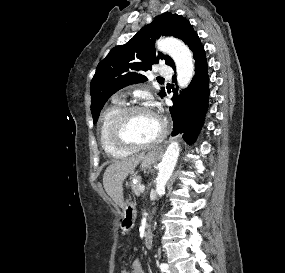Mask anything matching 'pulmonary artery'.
I'll return each mask as SVG.
<instances>
[{
  "label": "pulmonary artery",
  "mask_w": 285,
  "mask_h": 273,
  "mask_svg": "<svg viewBox=\"0 0 285 273\" xmlns=\"http://www.w3.org/2000/svg\"><path fill=\"white\" fill-rule=\"evenodd\" d=\"M158 74L162 77V78H168L172 76V69L168 66H161L158 68L157 70ZM116 100H118V98H115Z\"/></svg>",
  "instance_id": "e3ab8cb5"
}]
</instances>
